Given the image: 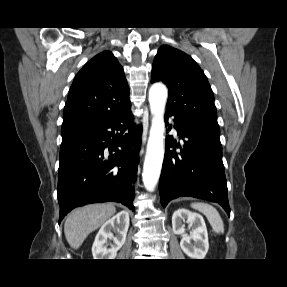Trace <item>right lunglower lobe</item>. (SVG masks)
Listing matches in <instances>:
<instances>
[{"instance_id":"1","label":"right lung lower lobe","mask_w":287,"mask_h":287,"mask_svg":"<svg viewBox=\"0 0 287 287\" xmlns=\"http://www.w3.org/2000/svg\"><path fill=\"white\" fill-rule=\"evenodd\" d=\"M141 126L133 123L131 105L84 128L62 135L58 170L59 222L72 209L115 201L134 210ZM108 149L111 155H107Z\"/></svg>"}]
</instances>
